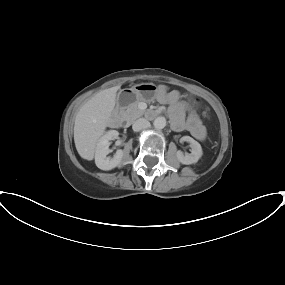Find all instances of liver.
Returning <instances> with one entry per match:
<instances>
[{
    "instance_id": "liver-1",
    "label": "liver",
    "mask_w": 285,
    "mask_h": 285,
    "mask_svg": "<svg viewBox=\"0 0 285 285\" xmlns=\"http://www.w3.org/2000/svg\"><path fill=\"white\" fill-rule=\"evenodd\" d=\"M120 85L95 94L79 110L74 124V142L78 154L86 160L94 158L96 144L109 125Z\"/></svg>"
}]
</instances>
